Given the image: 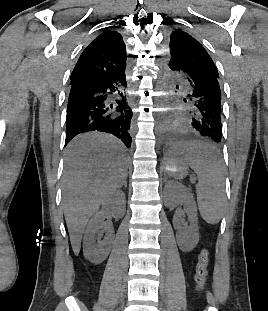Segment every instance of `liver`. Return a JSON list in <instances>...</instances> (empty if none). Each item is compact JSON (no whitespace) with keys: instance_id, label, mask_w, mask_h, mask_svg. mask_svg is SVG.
<instances>
[{"instance_id":"1","label":"liver","mask_w":268,"mask_h":311,"mask_svg":"<svg viewBox=\"0 0 268 311\" xmlns=\"http://www.w3.org/2000/svg\"><path fill=\"white\" fill-rule=\"evenodd\" d=\"M124 145L100 133L77 136L66 152L63 175V211L73 251L78 255L89 218L127 176Z\"/></svg>"}]
</instances>
